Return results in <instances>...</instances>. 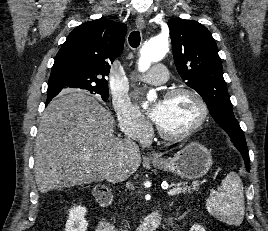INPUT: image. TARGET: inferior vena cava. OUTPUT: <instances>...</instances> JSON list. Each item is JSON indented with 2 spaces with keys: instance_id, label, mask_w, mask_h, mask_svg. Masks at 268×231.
I'll return each instance as SVG.
<instances>
[{
  "instance_id": "1",
  "label": "inferior vena cava",
  "mask_w": 268,
  "mask_h": 231,
  "mask_svg": "<svg viewBox=\"0 0 268 231\" xmlns=\"http://www.w3.org/2000/svg\"><path fill=\"white\" fill-rule=\"evenodd\" d=\"M128 141H131L130 138H127ZM132 144L136 145L133 141H132Z\"/></svg>"
}]
</instances>
